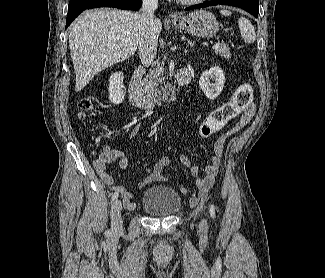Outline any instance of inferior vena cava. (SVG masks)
I'll list each match as a JSON object with an SVG mask.
<instances>
[{
  "label": "inferior vena cava",
  "instance_id": "1",
  "mask_svg": "<svg viewBox=\"0 0 325 278\" xmlns=\"http://www.w3.org/2000/svg\"><path fill=\"white\" fill-rule=\"evenodd\" d=\"M158 0H143L141 18V35L139 40V57L143 65L150 66L157 53L159 30L154 12Z\"/></svg>",
  "mask_w": 325,
  "mask_h": 278
}]
</instances>
